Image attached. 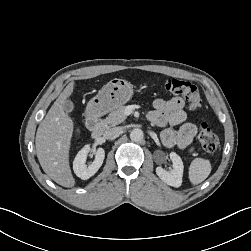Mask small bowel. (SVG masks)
<instances>
[{
    "mask_svg": "<svg viewBox=\"0 0 251 251\" xmlns=\"http://www.w3.org/2000/svg\"><path fill=\"white\" fill-rule=\"evenodd\" d=\"M184 106L185 102L180 97L169 100L158 98L153 102L154 110L147 116L148 120L157 126H168L161 134V141L168 148H188L197 133L196 125L187 122Z\"/></svg>",
    "mask_w": 251,
    "mask_h": 251,
    "instance_id": "obj_1",
    "label": "small bowel"
}]
</instances>
